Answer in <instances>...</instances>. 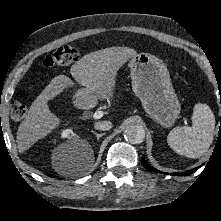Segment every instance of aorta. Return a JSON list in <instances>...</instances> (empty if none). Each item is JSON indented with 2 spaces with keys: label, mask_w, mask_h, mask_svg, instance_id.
Returning a JSON list of instances; mask_svg holds the SVG:
<instances>
[{
  "label": "aorta",
  "mask_w": 221,
  "mask_h": 221,
  "mask_svg": "<svg viewBox=\"0 0 221 221\" xmlns=\"http://www.w3.org/2000/svg\"><path fill=\"white\" fill-rule=\"evenodd\" d=\"M124 138L132 144H140L145 139V130L139 124H128L123 131Z\"/></svg>",
  "instance_id": "aorta-1"
}]
</instances>
